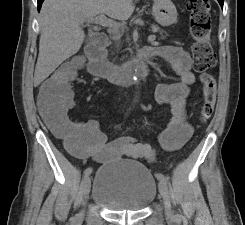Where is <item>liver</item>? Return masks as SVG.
Instances as JSON below:
<instances>
[{
    "label": "liver",
    "instance_id": "liver-1",
    "mask_svg": "<svg viewBox=\"0 0 245 225\" xmlns=\"http://www.w3.org/2000/svg\"><path fill=\"white\" fill-rule=\"evenodd\" d=\"M134 0H45L39 15L40 41L34 82L44 81L76 54L85 38L83 21L106 14L121 21L134 11Z\"/></svg>",
    "mask_w": 245,
    "mask_h": 225
}]
</instances>
